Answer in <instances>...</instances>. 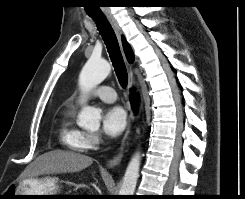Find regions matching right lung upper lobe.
<instances>
[{"mask_svg": "<svg viewBox=\"0 0 245 199\" xmlns=\"http://www.w3.org/2000/svg\"><path fill=\"white\" fill-rule=\"evenodd\" d=\"M122 42H123V47L127 56V59L130 63H132L134 61V55L133 52L131 50L130 45L127 43V41L125 40V38H122Z\"/></svg>", "mask_w": 245, "mask_h": 199, "instance_id": "obj_1", "label": "right lung upper lobe"}]
</instances>
